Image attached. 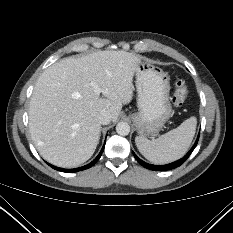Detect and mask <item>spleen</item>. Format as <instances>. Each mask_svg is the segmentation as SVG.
<instances>
[{"label":"spleen","mask_w":233,"mask_h":233,"mask_svg":"<svg viewBox=\"0 0 233 233\" xmlns=\"http://www.w3.org/2000/svg\"><path fill=\"white\" fill-rule=\"evenodd\" d=\"M196 125L197 119L192 116L157 139L149 140L137 136L135 143L139 152L147 160L156 164H166L186 154L193 140Z\"/></svg>","instance_id":"obj_1"}]
</instances>
